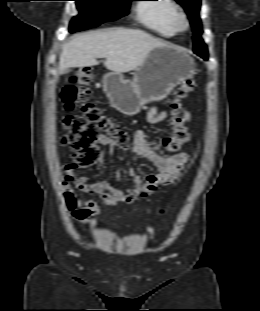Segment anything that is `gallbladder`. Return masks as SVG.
Listing matches in <instances>:
<instances>
[{
	"label": "gallbladder",
	"instance_id": "bac80fb5",
	"mask_svg": "<svg viewBox=\"0 0 260 311\" xmlns=\"http://www.w3.org/2000/svg\"><path fill=\"white\" fill-rule=\"evenodd\" d=\"M70 71H71L70 69H65L63 73H64V74H67V73H69Z\"/></svg>",
	"mask_w": 260,
	"mask_h": 311
}]
</instances>
